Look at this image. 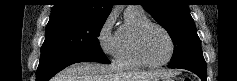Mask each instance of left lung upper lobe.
Returning a JSON list of instances; mask_svg holds the SVG:
<instances>
[{
	"label": "left lung upper lobe",
	"mask_w": 237,
	"mask_h": 81,
	"mask_svg": "<svg viewBox=\"0 0 237 81\" xmlns=\"http://www.w3.org/2000/svg\"><path fill=\"white\" fill-rule=\"evenodd\" d=\"M141 5L169 33L174 43L170 68L206 67L201 42L185 0H142Z\"/></svg>",
	"instance_id": "left-lung-upper-lobe-1"
}]
</instances>
